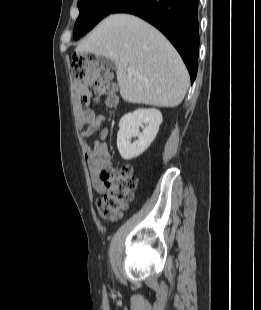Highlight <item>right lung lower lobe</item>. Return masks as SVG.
Wrapping results in <instances>:
<instances>
[{
    "label": "right lung lower lobe",
    "mask_w": 261,
    "mask_h": 310,
    "mask_svg": "<svg viewBox=\"0 0 261 310\" xmlns=\"http://www.w3.org/2000/svg\"><path fill=\"white\" fill-rule=\"evenodd\" d=\"M198 3L199 0H125L112 13L134 14L158 28L181 55L193 83L198 69Z\"/></svg>",
    "instance_id": "1"
}]
</instances>
